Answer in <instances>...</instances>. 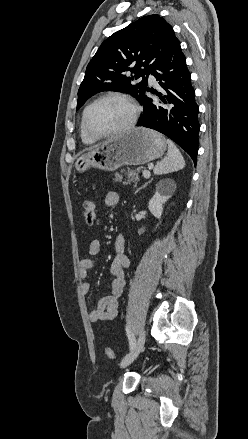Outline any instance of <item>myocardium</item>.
Listing matches in <instances>:
<instances>
[{
  "instance_id": "myocardium-1",
  "label": "myocardium",
  "mask_w": 248,
  "mask_h": 439,
  "mask_svg": "<svg viewBox=\"0 0 248 439\" xmlns=\"http://www.w3.org/2000/svg\"><path fill=\"white\" fill-rule=\"evenodd\" d=\"M106 99H115V100H120V101L124 102L125 104H127L130 107L132 113H131V117H130L129 121L123 127L116 129V130H113V131H110V132L98 133V132H95L92 129H90V127L88 126V121H87L88 113L94 105H96L98 102H100L102 100H106ZM139 111L140 110H139L138 105L129 96L124 95V94H120V93H106V94H103V95L97 97L95 100H93L90 104H88L86 106V108L84 109V112H83V116H82V126H83L84 131L89 136H91L92 138H95V139H101V138L119 135L122 133H126L134 128V126L136 125L138 116H139Z\"/></svg>"
}]
</instances>
